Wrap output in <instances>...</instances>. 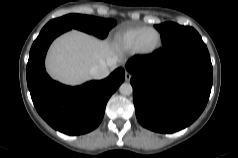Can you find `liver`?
<instances>
[{
    "mask_svg": "<svg viewBox=\"0 0 238 158\" xmlns=\"http://www.w3.org/2000/svg\"><path fill=\"white\" fill-rule=\"evenodd\" d=\"M119 60L116 49L107 40L74 30L54 41L46 65L54 79L77 85L91 77L92 67L105 63L113 70Z\"/></svg>",
    "mask_w": 238,
    "mask_h": 158,
    "instance_id": "6515ba94",
    "label": "liver"
}]
</instances>
